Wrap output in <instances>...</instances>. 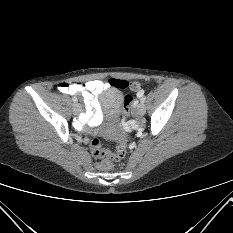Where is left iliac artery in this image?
Wrapping results in <instances>:
<instances>
[{"label": "left iliac artery", "mask_w": 233, "mask_h": 233, "mask_svg": "<svg viewBox=\"0 0 233 233\" xmlns=\"http://www.w3.org/2000/svg\"><path fill=\"white\" fill-rule=\"evenodd\" d=\"M142 95H143V94H142ZM142 95L140 96V97H141V102H143V103H144V102H145L146 97H145V96H142Z\"/></svg>", "instance_id": "1"}]
</instances>
